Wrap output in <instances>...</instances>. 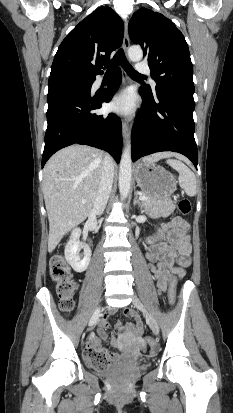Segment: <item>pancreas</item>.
<instances>
[{"label":"pancreas","mask_w":233,"mask_h":413,"mask_svg":"<svg viewBox=\"0 0 233 413\" xmlns=\"http://www.w3.org/2000/svg\"><path fill=\"white\" fill-rule=\"evenodd\" d=\"M143 195L147 197V200H144L142 205L145 208V211L151 216L168 217L174 212L176 202L157 200V198H153L146 194Z\"/></svg>","instance_id":"obj_1"}]
</instances>
